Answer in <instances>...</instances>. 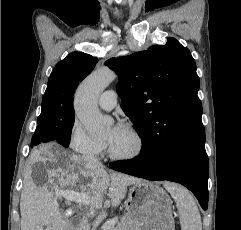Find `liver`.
<instances>
[{"mask_svg":"<svg viewBox=\"0 0 241 230\" xmlns=\"http://www.w3.org/2000/svg\"><path fill=\"white\" fill-rule=\"evenodd\" d=\"M30 157L31 166H40L45 171L48 181L56 178L61 187L69 186L68 190L62 191L66 195L78 193L72 188L79 184L80 193L97 201L101 200L102 194L109 189L108 196L114 207L124 199L128 185L141 181L119 173L109 175L102 165H90L76 154L58 151L50 146L34 149ZM84 179L87 182H84ZM20 212L21 230L66 229L54 193L48 189L47 185L39 187L35 184L32 178V168L24 178Z\"/></svg>","mask_w":241,"mask_h":230,"instance_id":"1","label":"liver"}]
</instances>
